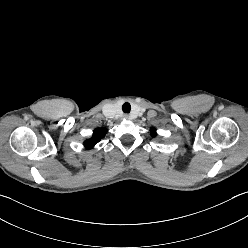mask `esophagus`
<instances>
[{
    "mask_svg": "<svg viewBox=\"0 0 248 248\" xmlns=\"http://www.w3.org/2000/svg\"><path fill=\"white\" fill-rule=\"evenodd\" d=\"M123 118L128 120V119H130V115L125 114V115L123 116Z\"/></svg>",
    "mask_w": 248,
    "mask_h": 248,
    "instance_id": "1",
    "label": "esophagus"
}]
</instances>
